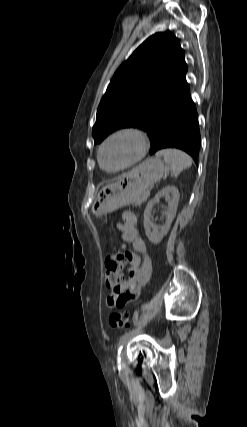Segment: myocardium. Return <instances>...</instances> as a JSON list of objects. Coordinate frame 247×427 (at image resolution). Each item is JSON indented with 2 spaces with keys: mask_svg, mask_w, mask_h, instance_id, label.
<instances>
[{
  "mask_svg": "<svg viewBox=\"0 0 247 427\" xmlns=\"http://www.w3.org/2000/svg\"><path fill=\"white\" fill-rule=\"evenodd\" d=\"M122 135H132L133 137L136 138L137 142H138V152L136 154V156L129 161L128 163H126L125 165L116 168V169H107L102 162V151L104 149V147L113 139L122 136ZM149 147V140L147 135L145 134V132L139 128L136 127H122L119 128L115 131H113L112 133H110L100 144L99 148H98V153H97V158H98V162L99 165L101 166V168L107 172L110 173H116V172H120L122 170H125L133 165H135L136 163H138L146 154L147 150Z\"/></svg>",
  "mask_w": 247,
  "mask_h": 427,
  "instance_id": "obj_1",
  "label": "myocardium"
}]
</instances>
